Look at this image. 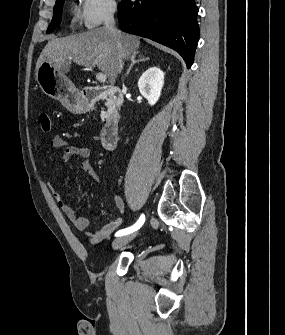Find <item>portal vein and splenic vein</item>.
<instances>
[{"mask_svg":"<svg viewBox=\"0 0 285 335\" xmlns=\"http://www.w3.org/2000/svg\"><path fill=\"white\" fill-rule=\"evenodd\" d=\"M96 80H98V82H106L107 78L105 74H96Z\"/></svg>","mask_w":285,"mask_h":335,"instance_id":"18ae733b","label":"portal vein and splenic vein"}]
</instances>
